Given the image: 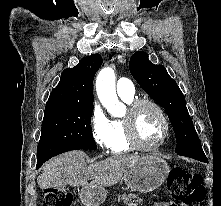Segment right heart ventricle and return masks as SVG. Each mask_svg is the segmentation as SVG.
I'll use <instances>...</instances> for the list:
<instances>
[{
	"mask_svg": "<svg viewBox=\"0 0 221 206\" xmlns=\"http://www.w3.org/2000/svg\"><path fill=\"white\" fill-rule=\"evenodd\" d=\"M120 98L127 104H131L134 100V96H120ZM110 131L109 148L113 154H123L133 149L128 141L123 119H115L110 121Z\"/></svg>",
	"mask_w": 221,
	"mask_h": 206,
	"instance_id": "e07e8e85",
	"label": "right heart ventricle"
}]
</instances>
